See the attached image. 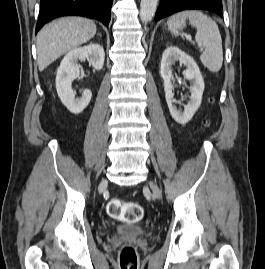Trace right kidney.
I'll return each mask as SVG.
<instances>
[{
  "label": "right kidney",
  "mask_w": 265,
  "mask_h": 269,
  "mask_svg": "<svg viewBox=\"0 0 265 269\" xmlns=\"http://www.w3.org/2000/svg\"><path fill=\"white\" fill-rule=\"evenodd\" d=\"M96 70H101L104 64V49L99 44H89L87 46L75 48L69 51L63 58L56 74V90L62 103L73 114L81 113L89 104L92 93L86 89L82 92L81 98H75V92L71 85L72 81L79 77L80 64L78 61H85Z\"/></svg>",
  "instance_id": "obj_1"
}]
</instances>
